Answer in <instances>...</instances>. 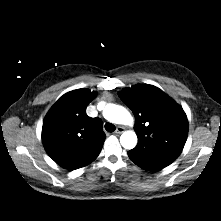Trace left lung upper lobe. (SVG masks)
Returning <instances> with one entry per match:
<instances>
[{"mask_svg": "<svg viewBox=\"0 0 221 221\" xmlns=\"http://www.w3.org/2000/svg\"><path fill=\"white\" fill-rule=\"evenodd\" d=\"M120 99L135 115L137 154L177 158L188 135V120L182 107L159 88L140 84L119 92Z\"/></svg>", "mask_w": 221, "mask_h": 221, "instance_id": "obj_1", "label": "left lung upper lobe"}]
</instances>
